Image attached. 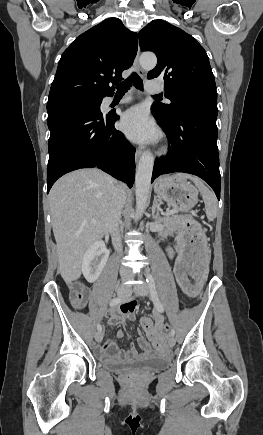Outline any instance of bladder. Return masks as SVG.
<instances>
[{
    "mask_svg": "<svg viewBox=\"0 0 263 435\" xmlns=\"http://www.w3.org/2000/svg\"><path fill=\"white\" fill-rule=\"evenodd\" d=\"M169 361L168 357L153 355L131 361H105L102 363V367L115 372H123L127 370L159 371L166 368Z\"/></svg>",
    "mask_w": 263,
    "mask_h": 435,
    "instance_id": "1",
    "label": "bladder"
}]
</instances>
